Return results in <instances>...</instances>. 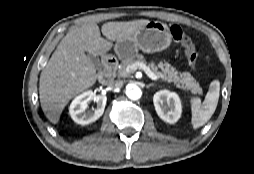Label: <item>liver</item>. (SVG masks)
I'll return each mask as SVG.
<instances>
[{
  "instance_id": "liver-1",
  "label": "liver",
  "mask_w": 254,
  "mask_h": 174,
  "mask_svg": "<svg viewBox=\"0 0 254 174\" xmlns=\"http://www.w3.org/2000/svg\"><path fill=\"white\" fill-rule=\"evenodd\" d=\"M149 22L140 19L105 23L101 32L107 39L101 37L95 22L68 32L40 75L39 98L47 119L57 124L68 102L95 84L96 68L85 52L102 56L112 48V41H121L135 35Z\"/></svg>"
}]
</instances>
